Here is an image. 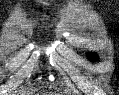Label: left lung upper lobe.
I'll return each mask as SVG.
<instances>
[{"instance_id":"left-lung-upper-lobe-1","label":"left lung upper lobe","mask_w":119,"mask_h":95,"mask_svg":"<svg viewBox=\"0 0 119 95\" xmlns=\"http://www.w3.org/2000/svg\"><path fill=\"white\" fill-rule=\"evenodd\" d=\"M88 58L92 61L97 60V56L95 54H89Z\"/></svg>"}]
</instances>
